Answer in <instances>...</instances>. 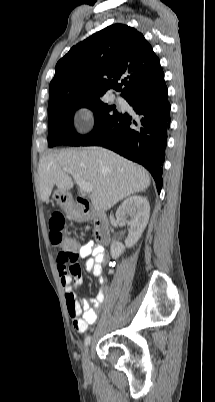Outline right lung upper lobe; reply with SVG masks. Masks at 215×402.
Segmentation results:
<instances>
[{
	"label": "right lung upper lobe",
	"instance_id": "obj_1",
	"mask_svg": "<svg viewBox=\"0 0 215 402\" xmlns=\"http://www.w3.org/2000/svg\"><path fill=\"white\" fill-rule=\"evenodd\" d=\"M164 82L160 60L143 34L115 24L73 46L58 61L49 102L60 97L99 96L111 88L126 98Z\"/></svg>",
	"mask_w": 215,
	"mask_h": 402
}]
</instances>
